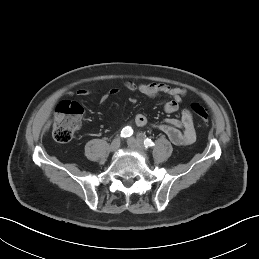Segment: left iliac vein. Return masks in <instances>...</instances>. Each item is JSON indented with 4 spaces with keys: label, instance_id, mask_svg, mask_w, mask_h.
I'll return each mask as SVG.
<instances>
[{
    "label": "left iliac vein",
    "instance_id": "4c4485c4",
    "mask_svg": "<svg viewBox=\"0 0 259 259\" xmlns=\"http://www.w3.org/2000/svg\"><path fill=\"white\" fill-rule=\"evenodd\" d=\"M128 146L133 149V150H137V151H143V146L140 142H138L136 139L134 138H129L127 140Z\"/></svg>",
    "mask_w": 259,
    "mask_h": 259
}]
</instances>
